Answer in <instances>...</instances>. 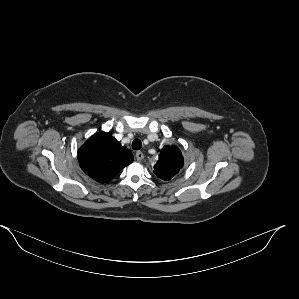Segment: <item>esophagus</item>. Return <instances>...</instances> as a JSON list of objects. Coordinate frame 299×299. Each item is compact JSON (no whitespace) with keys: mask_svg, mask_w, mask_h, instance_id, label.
<instances>
[{"mask_svg":"<svg viewBox=\"0 0 299 299\" xmlns=\"http://www.w3.org/2000/svg\"><path fill=\"white\" fill-rule=\"evenodd\" d=\"M135 156L139 162L144 158V154L141 151H137Z\"/></svg>","mask_w":299,"mask_h":299,"instance_id":"1","label":"esophagus"}]
</instances>
